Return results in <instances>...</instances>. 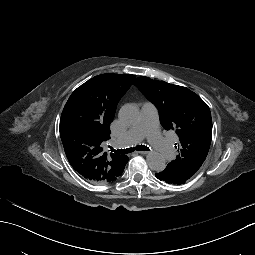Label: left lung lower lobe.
Returning <instances> with one entry per match:
<instances>
[{
  "label": "left lung lower lobe",
  "mask_w": 255,
  "mask_h": 255,
  "mask_svg": "<svg viewBox=\"0 0 255 255\" xmlns=\"http://www.w3.org/2000/svg\"><path fill=\"white\" fill-rule=\"evenodd\" d=\"M155 177L157 179H159L160 181L164 182L167 186H170L171 184L179 186L181 184V182H183L182 178L177 179V178L173 177L167 167H164L162 169V172H157L155 174Z\"/></svg>",
  "instance_id": "0a47b994"
}]
</instances>
